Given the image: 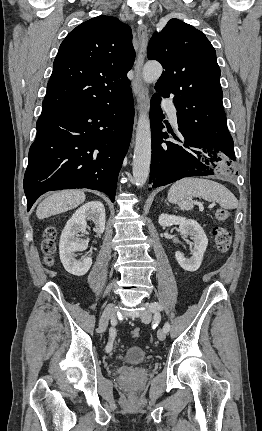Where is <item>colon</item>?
Segmentation results:
<instances>
[{"label": "colon", "mask_w": 262, "mask_h": 431, "mask_svg": "<svg viewBox=\"0 0 262 431\" xmlns=\"http://www.w3.org/2000/svg\"><path fill=\"white\" fill-rule=\"evenodd\" d=\"M218 224L213 229V236L215 241V247L218 252L226 253L231 246V232L224 226L229 220L230 213L226 209L218 208L215 213ZM55 237L56 230L53 227H49L44 232V237L41 243L42 251L45 254V262L48 265H52L54 262L55 252ZM141 333L140 328L132 330L133 337H139Z\"/></svg>", "instance_id": "obj_1"}]
</instances>
